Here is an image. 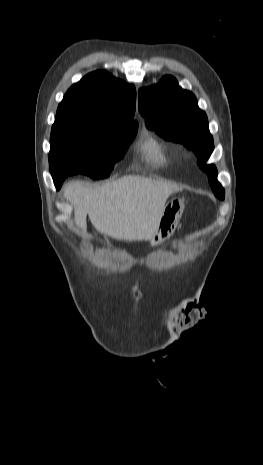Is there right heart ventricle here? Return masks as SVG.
I'll use <instances>...</instances> for the list:
<instances>
[{"label": "right heart ventricle", "instance_id": "right-heart-ventricle-1", "mask_svg": "<svg viewBox=\"0 0 263 465\" xmlns=\"http://www.w3.org/2000/svg\"><path fill=\"white\" fill-rule=\"evenodd\" d=\"M140 152L147 162L164 166L169 163L167 147L152 135H147L140 144Z\"/></svg>", "mask_w": 263, "mask_h": 465}]
</instances>
